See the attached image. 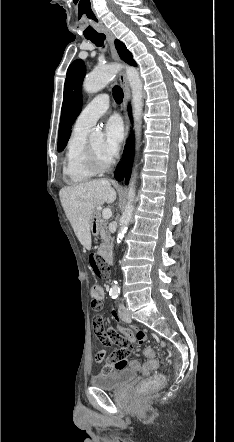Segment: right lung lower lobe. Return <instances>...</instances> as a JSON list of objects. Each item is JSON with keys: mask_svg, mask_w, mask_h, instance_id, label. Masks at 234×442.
<instances>
[{"mask_svg": "<svg viewBox=\"0 0 234 442\" xmlns=\"http://www.w3.org/2000/svg\"><path fill=\"white\" fill-rule=\"evenodd\" d=\"M129 115H131V111L129 109ZM134 155V138L129 139V144L125 146V150L123 153V161L119 163L115 170V178L118 181H121L125 177V183H128V180L131 175L132 162Z\"/></svg>", "mask_w": 234, "mask_h": 442, "instance_id": "right-lung-lower-lobe-1", "label": "right lung lower lobe"}]
</instances>
